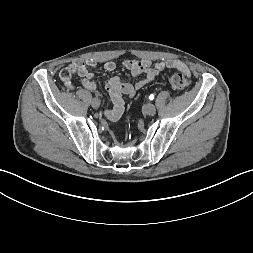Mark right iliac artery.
<instances>
[{
  "instance_id": "right-iliac-artery-1",
  "label": "right iliac artery",
  "mask_w": 253,
  "mask_h": 253,
  "mask_svg": "<svg viewBox=\"0 0 253 253\" xmlns=\"http://www.w3.org/2000/svg\"><path fill=\"white\" fill-rule=\"evenodd\" d=\"M100 96V93L99 92H96L95 93V97L98 98Z\"/></svg>"
}]
</instances>
